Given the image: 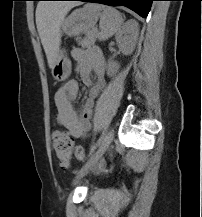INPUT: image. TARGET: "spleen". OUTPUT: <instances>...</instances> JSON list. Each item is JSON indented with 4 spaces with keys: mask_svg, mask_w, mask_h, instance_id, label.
<instances>
[{
    "mask_svg": "<svg viewBox=\"0 0 202 217\" xmlns=\"http://www.w3.org/2000/svg\"><path fill=\"white\" fill-rule=\"evenodd\" d=\"M88 7L102 11L100 19V34L101 40H105L114 35L121 27L123 19L121 14L112 7L104 5L90 4Z\"/></svg>",
    "mask_w": 202,
    "mask_h": 217,
    "instance_id": "obj_1",
    "label": "spleen"
}]
</instances>
